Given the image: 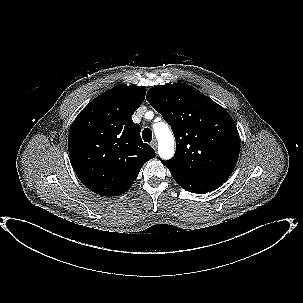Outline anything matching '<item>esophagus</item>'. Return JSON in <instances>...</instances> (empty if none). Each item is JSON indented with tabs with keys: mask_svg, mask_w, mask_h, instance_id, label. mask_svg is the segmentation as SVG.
Returning <instances> with one entry per match:
<instances>
[{
	"mask_svg": "<svg viewBox=\"0 0 303 303\" xmlns=\"http://www.w3.org/2000/svg\"><path fill=\"white\" fill-rule=\"evenodd\" d=\"M151 146H152V148L153 149H157V141L156 140H153L152 142H151Z\"/></svg>",
	"mask_w": 303,
	"mask_h": 303,
	"instance_id": "obj_1",
	"label": "esophagus"
}]
</instances>
